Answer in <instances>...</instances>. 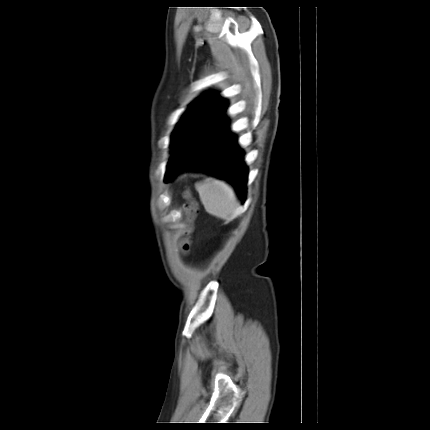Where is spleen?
I'll use <instances>...</instances> for the list:
<instances>
[{
  "instance_id": "obj_1",
  "label": "spleen",
  "mask_w": 430,
  "mask_h": 430,
  "mask_svg": "<svg viewBox=\"0 0 430 430\" xmlns=\"http://www.w3.org/2000/svg\"><path fill=\"white\" fill-rule=\"evenodd\" d=\"M195 188L205 210L213 216L226 218L237 208L238 201L232 188L222 181L196 183Z\"/></svg>"
}]
</instances>
